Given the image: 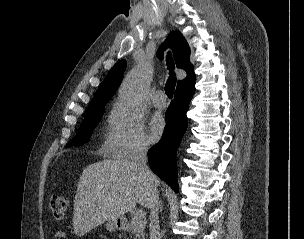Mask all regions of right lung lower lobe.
<instances>
[{"mask_svg":"<svg viewBox=\"0 0 304 239\" xmlns=\"http://www.w3.org/2000/svg\"><path fill=\"white\" fill-rule=\"evenodd\" d=\"M194 92L195 76L178 85L174 100L166 112V127L162 139L148 151L152 171L176 192V151L188 126L186 112Z\"/></svg>","mask_w":304,"mask_h":239,"instance_id":"98d812e1","label":"right lung lower lobe"}]
</instances>
